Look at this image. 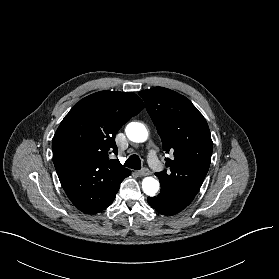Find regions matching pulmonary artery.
<instances>
[{"mask_svg":"<svg viewBox=\"0 0 279 279\" xmlns=\"http://www.w3.org/2000/svg\"><path fill=\"white\" fill-rule=\"evenodd\" d=\"M148 159H149V163L151 164L152 167H154V168L158 167L159 163H158V159H157V156L154 151H151L149 153Z\"/></svg>","mask_w":279,"mask_h":279,"instance_id":"1","label":"pulmonary artery"}]
</instances>
